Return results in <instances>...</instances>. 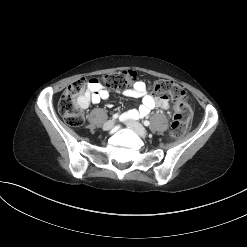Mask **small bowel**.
Here are the masks:
<instances>
[{"mask_svg":"<svg viewBox=\"0 0 247 247\" xmlns=\"http://www.w3.org/2000/svg\"><path fill=\"white\" fill-rule=\"evenodd\" d=\"M123 94L130 98L141 99V105L136 109L128 110L124 115L131 118L146 117L154 108L169 109V99L165 95L155 96L148 93L147 85L144 81L137 80L134 77L129 88L123 91ZM109 97V91L104 88L95 79L87 82L86 105L91 102L93 104L99 103L101 100H106Z\"/></svg>","mask_w":247,"mask_h":247,"instance_id":"small-bowel-1","label":"small bowel"}]
</instances>
